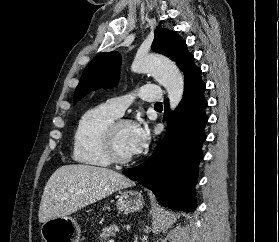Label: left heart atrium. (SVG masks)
<instances>
[{
    "label": "left heart atrium",
    "mask_w": 279,
    "mask_h": 242,
    "mask_svg": "<svg viewBox=\"0 0 279 242\" xmlns=\"http://www.w3.org/2000/svg\"><path fill=\"white\" fill-rule=\"evenodd\" d=\"M131 133V152L132 154H139L146 147L149 139V131L145 124L132 125Z\"/></svg>",
    "instance_id": "left-heart-atrium-1"
}]
</instances>
